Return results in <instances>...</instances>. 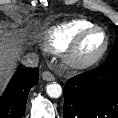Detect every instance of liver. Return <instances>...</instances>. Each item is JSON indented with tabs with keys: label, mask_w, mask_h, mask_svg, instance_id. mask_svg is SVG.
<instances>
[{
	"label": "liver",
	"mask_w": 118,
	"mask_h": 118,
	"mask_svg": "<svg viewBox=\"0 0 118 118\" xmlns=\"http://www.w3.org/2000/svg\"><path fill=\"white\" fill-rule=\"evenodd\" d=\"M22 38L14 29L0 28V91L8 83L22 54Z\"/></svg>",
	"instance_id": "6515ba94"
}]
</instances>
